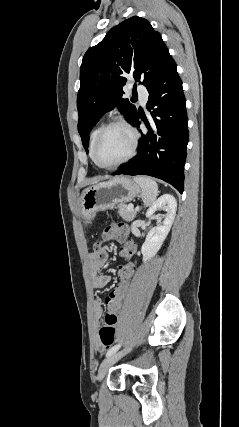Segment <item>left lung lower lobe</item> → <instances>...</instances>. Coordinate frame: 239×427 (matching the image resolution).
<instances>
[{
    "mask_svg": "<svg viewBox=\"0 0 239 427\" xmlns=\"http://www.w3.org/2000/svg\"><path fill=\"white\" fill-rule=\"evenodd\" d=\"M147 119L140 112L131 123L139 127L142 119L148 133L139 140L138 154L121 165L113 175H149L183 192L184 165L188 144V123L182 81L176 63L171 62L148 86Z\"/></svg>",
    "mask_w": 239,
    "mask_h": 427,
    "instance_id": "obj_1",
    "label": "left lung lower lobe"
}]
</instances>
